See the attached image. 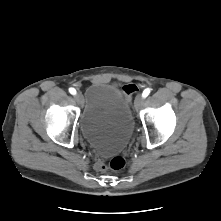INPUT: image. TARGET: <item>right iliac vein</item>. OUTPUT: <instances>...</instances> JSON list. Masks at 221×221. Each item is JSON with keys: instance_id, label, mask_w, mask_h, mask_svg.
Listing matches in <instances>:
<instances>
[{"instance_id": "right-iliac-vein-1", "label": "right iliac vein", "mask_w": 221, "mask_h": 221, "mask_svg": "<svg viewBox=\"0 0 221 221\" xmlns=\"http://www.w3.org/2000/svg\"><path fill=\"white\" fill-rule=\"evenodd\" d=\"M75 100L79 103L82 104L83 103V96L80 92H78L77 94H75L74 96Z\"/></svg>"}]
</instances>
